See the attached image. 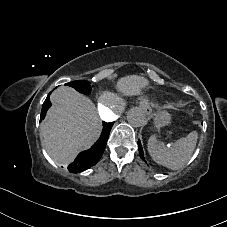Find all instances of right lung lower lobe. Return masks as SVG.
<instances>
[{
	"label": "right lung lower lobe",
	"instance_id": "obj_1",
	"mask_svg": "<svg viewBox=\"0 0 227 227\" xmlns=\"http://www.w3.org/2000/svg\"><path fill=\"white\" fill-rule=\"evenodd\" d=\"M50 106H51V103L49 100V107L41 111L40 121L44 119L46 112L50 108ZM113 124H114L113 122H110V123L103 122V131L101 133L100 138L90 149L78 154L74 162L68 166V170L70 172L78 173L80 171H83L85 169L92 167L100 160L104 152V149L110 134V130Z\"/></svg>",
	"mask_w": 227,
	"mask_h": 227
}]
</instances>
